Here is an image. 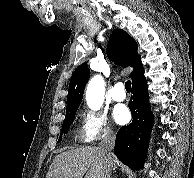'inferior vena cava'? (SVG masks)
Wrapping results in <instances>:
<instances>
[{"instance_id":"obj_1","label":"inferior vena cava","mask_w":194,"mask_h":178,"mask_svg":"<svg viewBox=\"0 0 194 178\" xmlns=\"http://www.w3.org/2000/svg\"><path fill=\"white\" fill-rule=\"evenodd\" d=\"M114 145H115V134L113 133V131L108 130L99 145L100 153L105 162L104 174L102 178H111L110 177L112 168L111 151L114 148Z\"/></svg>"}]
</instances>
